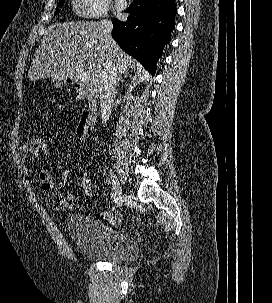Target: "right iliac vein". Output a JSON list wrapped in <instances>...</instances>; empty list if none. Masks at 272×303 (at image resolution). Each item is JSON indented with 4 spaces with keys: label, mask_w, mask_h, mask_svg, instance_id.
<instances>
[{
    "label": "right iliac vein",
    "mask_w": 272,
    "mask_h": 303,
    "mask_svg": "<svg viewBox=\"0 0 272 303\" xmlns=\"http://www.w3.org/2000/svg\"><path fill=\"white\" fill-rule=\"evenodd\" d=\"M110 175H111V179H112V183H113L114 193L116 194V196L118 198L117 204H118V206H122V204L124 202V193H123L122 187L120 185V182H119L117 176L114 174L112 169H110Z\"/></svg>",
    "instance_id": "right-iliac-vein-1"
}]
</instances>
